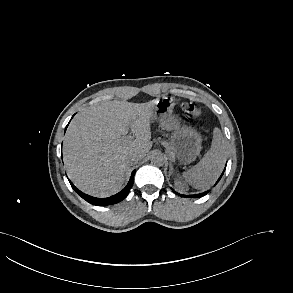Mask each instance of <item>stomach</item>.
<instances>
[{
  "label": "stomach",
  "mask_w": 293,
  "mask_h": 293,
  "mask_svg": "<svg viewBox=\"0 0 293 293\" xmlns=\"http://www.w3.org/2000/svg\"><path fill=\"white\" fill-rule=\"evenodd\" d=\"M174 106L175 102L172 98L159 99L151 120L158 121L162 129L173 131L170 142L171 153L180 163L189 164L200 154L202 137L196 129L181 124L179 117L172 113Z\"/></svg>",
  "instance_id": "1"
}]
</instances>
